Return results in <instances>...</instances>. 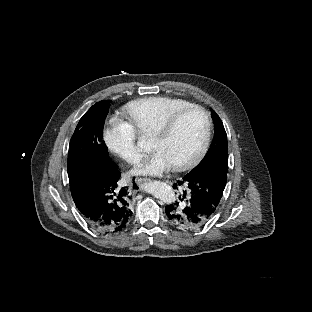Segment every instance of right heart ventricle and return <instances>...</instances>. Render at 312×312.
<instances>
[{
	"instance_id": "1",
	"label": "right heart ventricle",
	"mask_w": 312,
	"mask_h": 312,
	"mask_svg": "<svg viewBox=\"0 0 312 312\" xmlns=\"http://www.w3.org/2000/svg\"><path fill=\"white\" fill-rule=\"evenodd\" d=\"M190 100L185 95H141L128 103L132 121L142 132H154L168 120L187 111Z\"/></svg>"
}]
</instances>
